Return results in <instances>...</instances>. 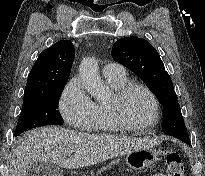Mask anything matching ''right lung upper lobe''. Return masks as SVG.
<instances>
[{
    "mask_svg": "<svg viewBox=\"0 0 205 176\" xmlns=\"http://www.w3.org/2000/svg\"><path fill=\"white\" fill-rule=\"evenodd\" d=\"M75 57L71 41L60 40L44 50L29 73L24 96L46 92L66 84Z\"/></svg>",
    "mask_w": 205,
    "mask_h": 176,
    "instance_id": "cb5924a9",
    "label": "right lung upper lobe"
}]
</instances>
